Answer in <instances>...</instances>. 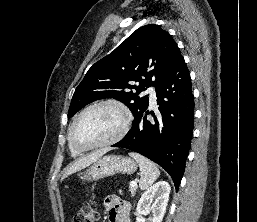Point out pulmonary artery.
I'll list each match as a JSON object with an SVG mask.
<instances>
[{
	"mask_svg": "<svg viewBox=\"0 0 257 222\" xmlns=\"http://www.w3.org/2000/svg\"><path fill=\"white\" fill-rule=\"evenodd\" d=\"M147 93L150 95V102L152 105L155 104V101H156V93H155V90L153 88H149L147 90Z\"/></svg>",
	"mask_w": 257,
	"mask_h": 222,
	"instance_id": "obj_1",
	"label": "pulmonary artery"
}]
</instances>
